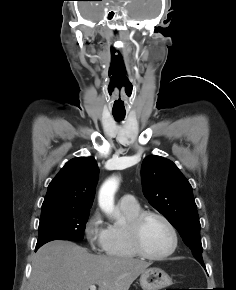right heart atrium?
<instances>
[{
    "instance_id": "1",
    "label": "right heart atrium",
    "mask_w": 236,
    "mask_h": 290,
    "mask_svg": "<svg viewBox=\"0 0 236 290\" xmlns=\"http://www.w3.org/2000/svg\"><path fill=\"white\" fill-rule=\"evenodd\" d=\"M84 234L89 246L94 250L103 248L106 237V228L99 211H94L86 220Z\"/></svg>"
}]
</instances>
